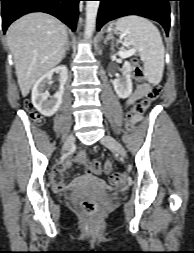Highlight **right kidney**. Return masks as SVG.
I'll return each instance as SVG.
<instances>
[{
  "label": "right kidney",
  "mask_w": 194,
  "mask_h": 253,
  "mask_svg": "<svg viewBox=\"0 0 194 253\" xmlns=\"http://www.w3.org/2000/svg\"><path fill=\"white\" fill-rule=\"evenodd\" d=\"M53 73H59V88L51 97L46 90ZM68 79L67 67L62 65L58 66L42 77H40L34 84L32 89V104L44 116L50 117L54 115L62 103V96L64 94V85Z\"/></svg>",
  "instance_id": "1"
}]
</instances>
